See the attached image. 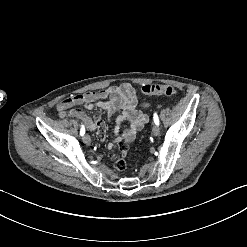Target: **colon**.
I'll use <instances>...</instances> for the list:
<instances>
[{"mask_svg": "<svg viewBox=\"0 0 247 247\" xmlns=\"http://www.w3.org/2000/svg\"><path fill=\"white\" fill-rule=\"evenodd\" d=\"M139 90L142 95L146 96H175L177 94L174 86L166 84H143Z\"/></svg>", "mask_w": 247, "mask_h": 247, "instance_id": "5ec220e1", "label": "colon"}]
</instances>
